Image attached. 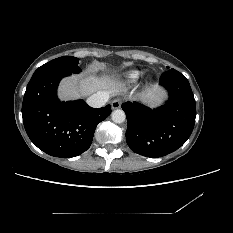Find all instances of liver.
<instances>
[{"label":"liver","mask_w":233,"mask_h":233,"mask_svg":"<svg viewBox=\"0 0 233 233\" xmlns=\"http://www.w3.org/2000/svg\"><path fill=\"white\" fill-rule=\"evenodd\" d=\"M116 85V79L109 75L99 77L93 73L85 76L64 78L59 85L58 96L61 100L67 101L86 97L103 89H108L110 93H118L119 90L115 89ZM157 90V85H154L148 89L143 98H147L151 103H158L159 99L155 97Z\"/></svg>","instance_id":"1"}]
</instances>
